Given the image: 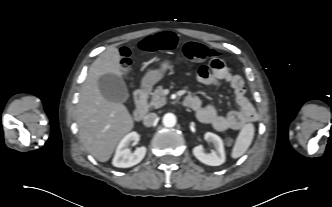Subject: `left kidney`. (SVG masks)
I'll return each instance as SVG.
<instances>
[{"mask_svg": "<svg viewBox=\"0 0 332 207\" xmlns=\"http://www.w3.org/2000/svg\"><path fill=\"white\" fill-rule=\"evenodd\" d=\"M205 139L213 143L215 150L210 154L204 152L201 145L193 148L194 156L202 163L209 166H219L225 162V151L222 139L211 132L205 134Z\"/></svg>", "mask_w": 332, "mask_h": 207, "instance_id": "obj_1", "label": "left kidney"}]
</instances>
